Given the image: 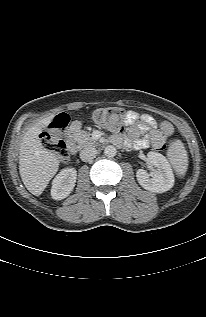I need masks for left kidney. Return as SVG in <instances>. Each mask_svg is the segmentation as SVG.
<instances>
[{
  "label": "left kidney",
  "instance_id": "left-kidney-1",
  "mask_svg": "<svg viewBox=\"0 0 206 317\" xmlns=\"http://www.w3.org/2000/svg\"><path fill=\"white\" fill-rule=\"evenodd\" d=\"M149 164L156 167L152 173L139 169L136 172L138 183L146 190L163 193L174 185V175L168 160L160 153L149 152L147 154Z\"/></svg>",
  "mask_w": 206,
  "mask_h": 317
}]
</instances>
